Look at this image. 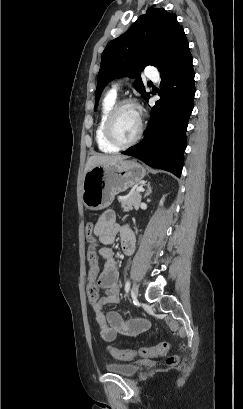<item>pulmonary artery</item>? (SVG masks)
<instances>
[{
    "mask_svg": "<svg viewBox=\"0 0 243 409\" xmlns=\"http://www.w3.org/2000/svg\"><path fill=\"white\" fill-rule=\"evenodd\" d=\"M145 76H146L148 79H151V80H153V81H158V80L160 79L158 72H157L156 70H153V69L146 71V72H145ZM119 89H120L119 84H114V85L112 86V88H111V92L114 93V94H116Z\"/></svg>",
    "mask_w": 243,
    "mask_h": 409,
    "instance_id": "1",
    "label": "pulmonary artery"
}]
</instances>
